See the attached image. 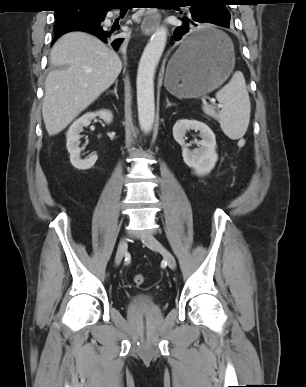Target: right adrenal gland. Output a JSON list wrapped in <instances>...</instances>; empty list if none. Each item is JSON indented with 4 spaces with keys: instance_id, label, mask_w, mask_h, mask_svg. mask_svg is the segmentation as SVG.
Instances as JSON below:
<instances>
[{
    "instance_id": "obj_1",
    "label": "right adrenal gland",
    "mask_w": 306,
    "mask_h": 387,
    "mask_svg": "<svg viewBox=\"0 0 306 387\" xmlns=\"http://www.w3.org/2000/svg\"><path fill=\"white\" fill-rule=\"evenodd\" d=\"M117 86H118V80L115 81L114 90L113 91L110 90V91H108V93L114 94L116 96V98L119 99L118 93H117Z\"/></svg>"
}]
</instances>
